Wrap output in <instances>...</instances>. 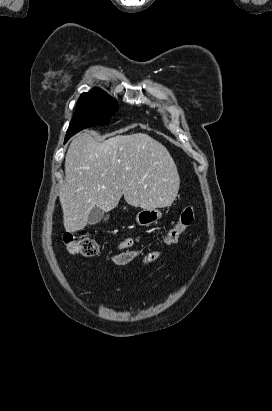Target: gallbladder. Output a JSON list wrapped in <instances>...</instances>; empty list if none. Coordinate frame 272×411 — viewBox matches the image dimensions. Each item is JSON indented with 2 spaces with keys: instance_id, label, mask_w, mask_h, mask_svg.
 Masks as SVG:
<instances>
[{
  "instance_id": "obj_1",
  "label": "gallbladder",
  "mask_w": 272,
  "mask_h": 411,
  "mask_svg": "<svg viewBox=\"0 0 272 411\" xmlns=\"http://www.w3.org/2000/svg\"><path fill=\"white\" fill-rule=\"evenodd\" d=\"M103 218L104 211L99 207H94L89 213L88 224L95 225L99 223Z\"/></svg>"
}]
</instances>
